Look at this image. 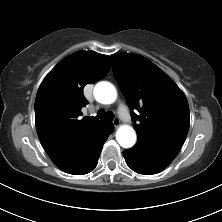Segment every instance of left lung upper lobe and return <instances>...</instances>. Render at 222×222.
<instances>
[{"label":"left lung upper lobe","mask_w":222,"mask_h":222,"mask_svg":"<svg viewBox=\"0 0 222 222\" xmlns=\"http://www.w3.org/2000/svg\"><path fill=\"white\" fill-rule=\"evenodd\" d=\"M110 57L138 135L130 150L167 167L189 130L185 94L162 70L140 55L116 53Z\"/></svg>","instance_id":"5c2ea615"}]
</instances>
